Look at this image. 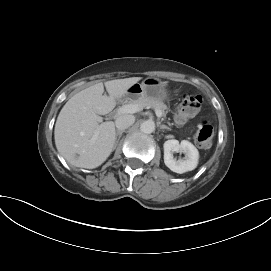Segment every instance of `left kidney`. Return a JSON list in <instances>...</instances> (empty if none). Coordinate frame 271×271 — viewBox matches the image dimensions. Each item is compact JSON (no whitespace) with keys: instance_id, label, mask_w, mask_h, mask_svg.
<instances>
[{"instance_id":"1","label":"left kidney","mask_w":271,"mask_h":271,"mask_svg":"<svg viewBox=\"0 0 271 271\" xmlns=\"http://www.w3.org/2000/svg\"><path fill=\"white\" fill-rule=\"evenodd\" d=\"M164 163L173 172L182 174L192 171L197 167L199 160V152L197 148L189 141L183 140H167L164 145ZM174 152H183L185 157L176 160L173 156Z\"/></svg>"}]
</instances>
